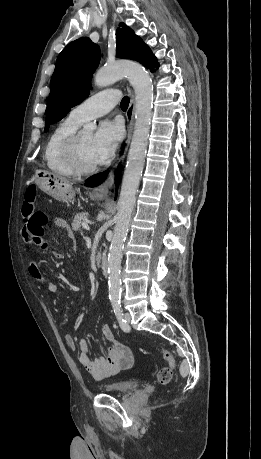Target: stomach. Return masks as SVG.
<instances>
[{"label": "stomach", "mask_w": 261, "mask_h": 459, "mask_svg": "<svg viewBox=\"0 0 261 459\" xmlns=\"http://www.w3.org/2000/svg\"><path fill=\"white\" fill-rule=\"evenodd\" d=\"M34 181L38 188L57 200L70 201L75 197L72 184L58 174L37 170Z\"/></svg>", "instance_id": "obj_1"}]
</instances>
